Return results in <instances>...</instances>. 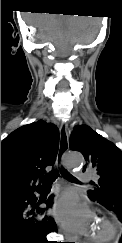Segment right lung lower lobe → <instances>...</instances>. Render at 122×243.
Masks as SVG:
<instances>
[{
  "instance_id": "obj_1",
  "label": "right lung lower lobe",
  "mask_w": 122,
  "mask_h": 243,
  "mask_svg": "<svg viewBox=\"0 0 122 243\" xmlns=\"http://www.w3.org/2000/svg\"><path fill=\"white\" fill-rule=\"evenodd\" d=\"M34 191L39 192L40 187L1 199V243H48L46 235L56 225L49 217H42L46 209H35ZM52 199L53 195L45 202L47 208Z\"/></svg>"
}]
</instances>
